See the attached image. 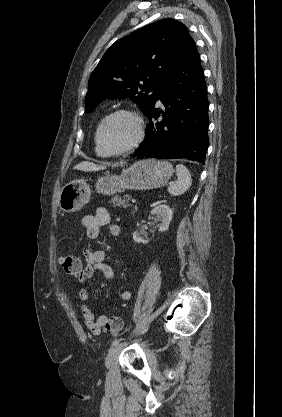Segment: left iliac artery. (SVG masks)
Returning a JSON list of instances; mask_svg holds the SVG:
<instances>
[{"mask_svg": "<svg viewBox=\"0 0 282 417\" xmlns=\"http://www.w3.org/2000/svg\"><path fill=\"white\" fill-rule=\"evenodd\" d=\"M148 330V327H145L144 328V330L142 331V333H144V332H146ZM121 341V339H115L113 342H112V347H114V346H116V345H118V343Z\"/></svg>", "mask_w": 282, "mask_h": 417, "instance_id": "44dca946", "label": "left iliac artery"}]
</instances>
